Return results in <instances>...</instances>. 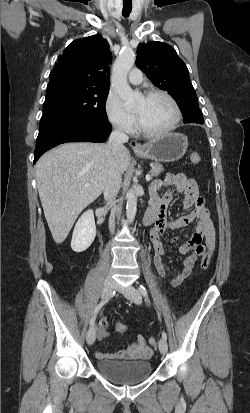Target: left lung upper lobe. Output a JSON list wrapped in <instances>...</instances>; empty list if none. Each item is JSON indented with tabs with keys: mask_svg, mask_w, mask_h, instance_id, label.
Listing matches in <instances>:
<instances>
[{
	"mask_svg": "<svg viewBox=\"0 0 250 413\" xmlns=\"http://www.w3.org/2000/svg\"><path fill=\"white\" fill-rule=\"evenodd\" d=\"M136 65L155 86L174 97L183 115L202 114L187 66L172 46L156 41L140 43Z\"/></svg>",
	"mask_w": 250,
	"mask_h": 413,
	"instance_id": "1",
	"label": "left lung upper lobe"
}]
</instances>
